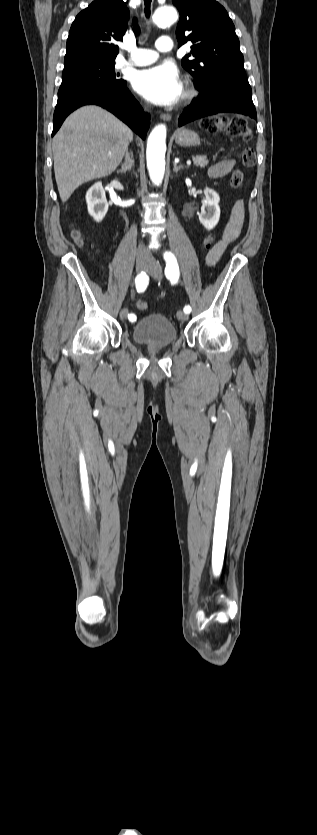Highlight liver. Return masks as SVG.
Here are the masks:
<instances>
[{
	"label": "liver",
	"instance_id": "6515ba94",
	"mask_svg": "<svg viewBox=\"0 0 317 835\" xmlns=\"http://www.w3.org/2000/svg\"><path fill=\"white\" fill-rule=\"evenodd\" d=\"M132 140V130L98 106H84L68 116L52 142L62 202L84 182L114 172Z\"/></svg>",
	"mask_w": 317,
	"mask_h": 835
}]
</instances>
